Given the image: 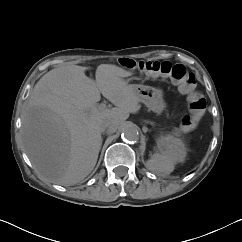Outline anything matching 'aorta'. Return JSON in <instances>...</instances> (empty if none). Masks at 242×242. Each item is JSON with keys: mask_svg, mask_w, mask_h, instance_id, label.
<instances>
[{"mask_svg": "<svg viewBox=\"0 0 242 242\" xmlns=\"http://www.w3.org/2000/svg\"><path fill=\"white\" fill-rule=\"evenodd\" d=\"M122 138L129 142H135L139 138L138 128L133 123H128L122 130Z\"/></svg>", "mask_w": 242, "mask_h": 242, "instance_id": "obj_1", "label": "aorta"}]
</instances>
